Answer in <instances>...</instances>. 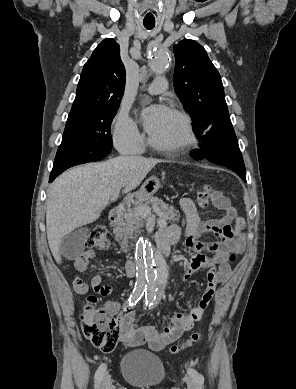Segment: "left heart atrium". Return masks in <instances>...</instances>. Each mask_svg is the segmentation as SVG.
Instances as JSON below:
<instances>
[{
  "instance_id": "39dd6f15",
  "label": "left heart atrium",
  "mask_w": 296,
  "mask_h": 389,
  "mask_svg": "<svg viewBox=\"0 0 296 389\" xmlns=\"http://www.w3.org/2000/svg\"><path fill=\"white\" fill-rule=\"evenodd\" d=\"M169 112V109L165 106H155L145 110L143 112V122L147 132L151 135L155 133Z\"/></svg>"
}]
</instances>
